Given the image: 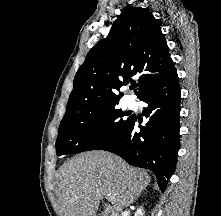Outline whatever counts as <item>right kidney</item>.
Instances as JSON below:
<instances>
[{
    "label": "right kidney",
    "instance_id": "1",
    "mask_svg": "<svg viewBox=\"0 0 221 216\" xmlns=\"http://www.w3.org/2000/svg\"><path fill=\"white\" fill-rule=\"evenodd\" d=\"M144 212H143V209H137V215L138 216H143Z\"/></svg>",
    "mask_w": 221,
    "mask_h": 216
}]
</instances>
